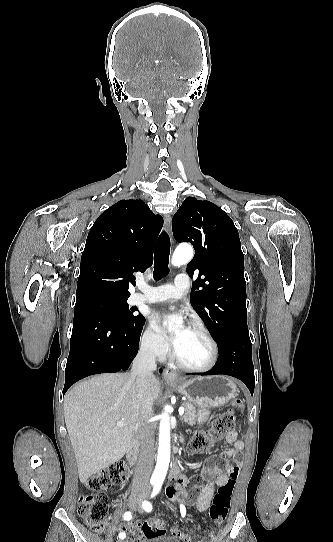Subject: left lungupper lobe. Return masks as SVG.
<instances>
[{"label":"left lung upper lobe","mask_w":333,"mask_h":542,"mask_svg":"<svg viewBox=\"0 0 333 542\" xmlns=\"http://www.w3.org/2000/svg\"><path fill=\"white\" fill-rule=\"evenodd\" d=\"M172 230L178 242H190L195 249L187 265L191 278L199 271L191 304L220 347L230 332L248 330L244 255L237 228L215 204L188 197L172 219Z\"/></svg>","instance_id":"left-lung-upper-lobe-1"}]
</instances>
